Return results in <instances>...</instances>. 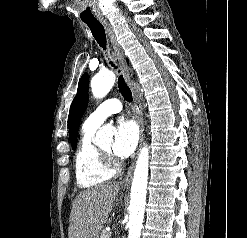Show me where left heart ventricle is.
<instances>
[{
    "label": "left heart ventricle",
    "instance_id": "1",
    "mask_svg": "<svg viewBox=\"0 0 247 238\" xmlns=\"http://www.w3.org/2000/svg\"><path fill=\"white\" fill-rule=\"evenodd\" d=\"M102 149H103L104 151H106V152H110V153H111V150H112V143L109 142V143L103 145V146H102Z\"/></svg>",
    "mask_w": 247,
    "mask_h": 238
}]
</instances>
